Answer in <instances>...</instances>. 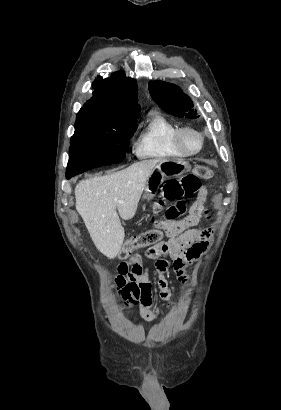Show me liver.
Returning <instances> with one entry per match:
<instances>
[{"label": "liver", "mask_w": 281, "mask_h": 410, "mask_svg": "<svg viewBox=\"0 0 281 410\" xmlns=\"http://www.w3.org/2000/svg\"><path fill=\"white\" fill-rule=\"evenodd\" d=\"M159 161L143 160L76 185V210L96 248L109 259L117 256L125 237L119 216L124 220L134 217L147 179Z\"/></svg>", "instance_id": "1"}]
</instances>
